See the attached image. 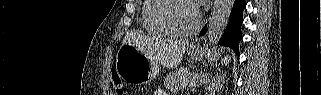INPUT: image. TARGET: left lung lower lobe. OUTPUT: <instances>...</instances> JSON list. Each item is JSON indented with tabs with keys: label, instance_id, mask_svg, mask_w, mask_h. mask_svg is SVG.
Segmentation results:
<instances>
[{
	"label": "left lung lower lobe",
	"instance_id": "0a47b994",
	"mask_svg": "<svg viewBox=\"0 0 321 95\" xmlns=\"http://www.w3.org/2000/svg\"><path fill=\"white\" fill-rule=\"evenodd\" d=\"M246 7L245 0H235L229 23L226 27L224 34L222 35L221 40L219 41L220 45L228 46L232 48L236 54H239V42L242 39L241 25L243 22V10ZM206 26L200 32V36L205 35Z\"/></svg>",
	"mask_w": 321,
	"mask_h": 95
}]
</instances>
